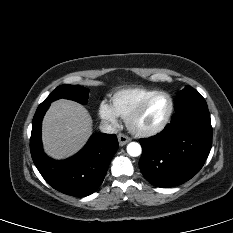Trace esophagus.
Instances as JSON below:
<instances>
[{
	"label": "esophagus",
	"instance_id": "1",
	"mask_svg": "<svg viewBox=\"0 0 233 233\" xmlns=\"http://www.w3.org/2000/svg\"><path fill=\"white\" fill-rule=\"evenodd\" d=\"M130 140H131L130 137H128L127 135H124L122 133L118 135V142L120 146H124L125 144L130 142Z\"/></svg>",
	"mask_w": 233,
	"mask_h": 233
}]
</instances>
